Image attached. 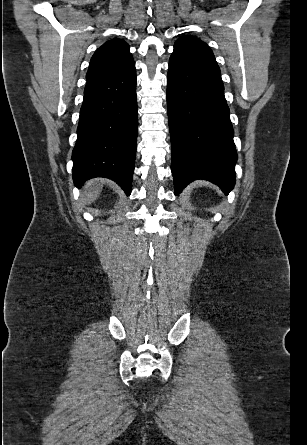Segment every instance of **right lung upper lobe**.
Returning a JSON list of instances; mask_svg holds the SVG:
<instances>
[{
	"instance_id": "obj_1",
	"label": "right lung upper lobe",
	"mask_w": 307,
	"mask_h": 445,
	"mask_svg": "<svg viewBox=\"0 0 307 445\" xmlns=\"http://www.w3.org/2000/svg\"><path fill=\"white\" fill-rule=\"evenodd\" d=\"M133 63L129 45L125 41L121 39L107 41L92 56L86 79L89 81L113 75Z\"/></svg>"
}]
</instances>
